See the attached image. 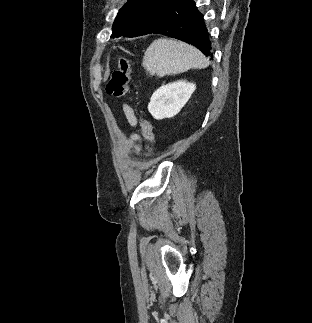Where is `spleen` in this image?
Here are the masks:
<instances>
[{
  "label": "spleen",
  "mask_w": 312,
  "mask_h": 323,
  "mask_svg": "<svg viewBox=\"0 0 312 323\" xmlns=\"http://www.w3.org/2000/svg\"><path fill=\"white\" fill-rule=\"evenodd\" d=\"M210 62L202 52L194 46L178 40H166L159 38L147 48L142 66L152 76H170V74H182L190 68H207Z\"/></svg>",
  "instance_id": "3e777b00"
}]
</instances>
